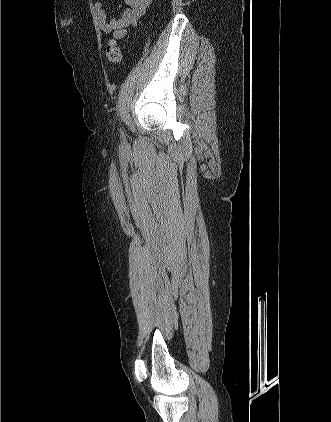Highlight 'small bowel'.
I'll return each mask as SVG.
<instances>
[{
  "label": "small bowel",
  "mask_w": 331,
  "mask_h": 422,
  "mask_svg": "<svg viewBox=\"0 0 331 422\" xmlns=\"http://www.w3.org/2000/svg\"><path fill=\"white\" fill-rule=\"evenodd\" d=\"M124 5H120L121 13L108 20L107 14L104 10L103 3L97 1L94 4L96 20L99 29L106 34L112 33L117 39L123 38L128 29L135 26L136 23L145 14L146 9L152 0H123Z\"/></svg>",
  "instance_id": "small-bowel-1"
}]
</instances>
